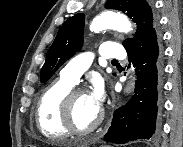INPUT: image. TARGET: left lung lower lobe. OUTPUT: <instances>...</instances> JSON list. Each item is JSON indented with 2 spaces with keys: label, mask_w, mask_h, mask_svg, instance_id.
<instances>
[{
  "label": "left lung lower lobe",
  "mask_w": 183,
  "mask_h": 147,
  "mask_svg": "<svg viewBox=\"0 0 183 147\" xmlns=\"http://www.w3.org/2000/svg\"><path fill=\"white\" fill-rule=\"evenodd\" d=\"M157 26L144 38L128 47L129 61L137 67V81L130 101L115 111L104 139L124 144L155 135L161 124L163 91V50Z\"/></svg>",
  "instance_id": "1"
}]
</instances>
